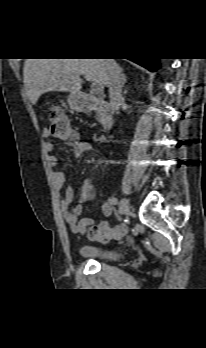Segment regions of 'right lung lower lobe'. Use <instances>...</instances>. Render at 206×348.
Masks as SVG:
<instances>
[{
    "instance_id": "98d812e1",
    "label": "right lung lower lobe",
    "mask_w": 206,
    "mask_h": 348,
    "mask_svg": "<svg viewBox=\"0 0 206 348\" xmlns=\"http://www.w3.org/2000/svg\"><path fill=\"white\" fill-rule=\"evenodd\" d=\"M134 62H136L137 64L147 68L150 71H155L158 66V59L157 58H145V59H130Z\"/></svg>"
}]
</instances>
